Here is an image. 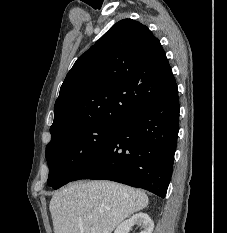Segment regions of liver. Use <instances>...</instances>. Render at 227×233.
Listing matches in <instances>:
<instances>
[{"label": "liver", "instance_id": "liver-1", "mask_svg": "<svg viewBox=\"0 0 227 233\" xmlns=\"http://www.w3.org/2000/svg\"><path fill=\"white\" fill-rule=\"evenodd\" d=\"M147 205L148 196L141 190L110 181H88L55 193L49 209L54 233H112Z\"/></svg>", "mask_w": 227, "mask_h": 233}]
</instances>
